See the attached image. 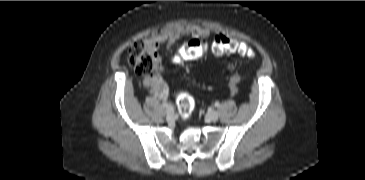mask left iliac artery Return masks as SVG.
<instances>
[{
	"mask_svg": "<svg viewBox=\"0 0 365 180\" xmlns=\"http://www.w3.org/2000/svg\"><path fill=\"white\" fill-rule=\"evenodd\" d=\"M215 106H216V107H219V106H220L219 102H216V103H215Z\"/></svg>",
	"mask_w": 365,
	"mask_h": 180,
	"instance_id": "obj_1",
	"label": "left iliac artery"
}]
</instances>
